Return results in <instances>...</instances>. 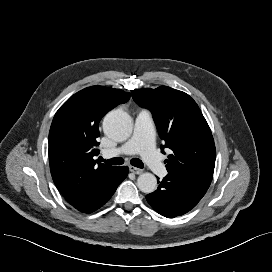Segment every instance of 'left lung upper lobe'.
Listing matches in <instances>:
<instances>
[{"label": "left lung upper lobe", "mask_w": 272, "mask_h": 272, "mask_svg": "<svg viewBox=\"0 0 272 272\" xmlns=\"http://www.w3.org/2000/svg\"><path fill=\"white\" fill-rule=\"evenodd\" d=\"M133 99L153 115L163 149L169 148L168 172L212 180L216 149L211 130L196 102L167 86L131 90Z\"/></svg>", "instance_id": "obj_1"}]
</instances>
